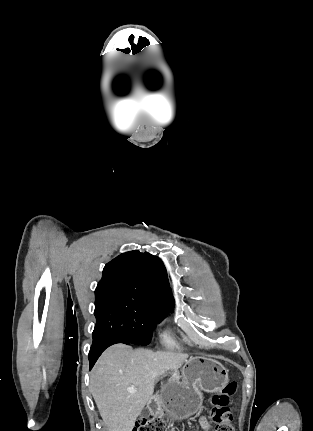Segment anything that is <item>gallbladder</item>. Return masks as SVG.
<instances>
[{"mask_svg":"<svg viewBox=\"0 0 313 431\" xmlns=\"http://www.w3.org/2000/svg\"><path fill=\"white\" fill-rule=\"evenodd\" d=\"M144 412H145V415H147V414H148V411H147V410H145Z\"/></svg>","mask_w":313,"mask_h":431,"instance_id":"gallbladder-1","label":"gallbladder"}]
</instances>
